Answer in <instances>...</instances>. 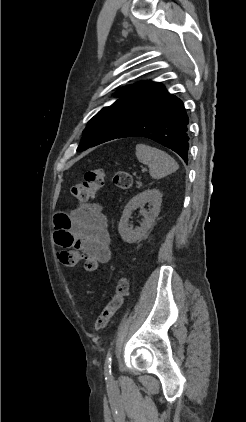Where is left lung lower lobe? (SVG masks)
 <instances>
[{"label": "left lung lower lobe", "mask_w": 246, "mask_h": 422, "mask_svg": "<svg viewBox=\"0 0 246 422\" xmlns=\"http://www.w3.org/2000/svg\"><path fill=\"white\" fill-rule=\"evenodd\" d=\"M189 119L183 102L168 91L118 138L146 137L175 151L187 163Z\"/></svg>", "instance_id": "left-lung-lower-lobe-1"}]
</instances>
